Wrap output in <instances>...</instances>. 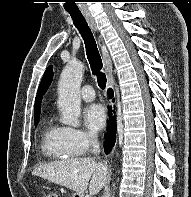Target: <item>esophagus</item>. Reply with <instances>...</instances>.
<instances>
[{
  "mask_svg": "<svg viewBox=\"0 0 191 197\" xmlns=\"http://www.w3.org/2000/svg\"><path fill=\"white\" fill-rule=\"evenodd\" d=\"M84 16L86 20L88 21L90 27L96 32L97 26H96L94 18L88 12H85ZM102 59H103V64H104L105 73L107 77V88L112 89L113 88L112 62H111L109 53L107 52L105 47H102ZM110 105L113 107L112 100H110Z\"/></svg>",
  "mask_w": 191,
  "mask_h": 197,
  "instance_id": "34e87169",
  "label": "esophagus"
}]
</instances>
